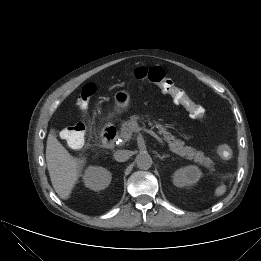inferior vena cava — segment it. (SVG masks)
<instances>
[{"instance_id": "602c4592", "label": "inferior vena cava", "mask_w": 261, "mask_h": 261, "mask_svg": "<svg viewBox=\"0 0 261 261\" xmlns=\"http://www.w3.org/2000/svg\"><path fill=\"white\" fill-rule=\"evenodd\" d=\"M131 156V152L128 150H118L114 153V158L118 162H125Z\"/></svg>"}]
</instances>
